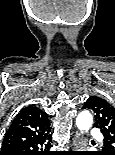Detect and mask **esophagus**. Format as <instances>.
Wrapping results in <instances>:
<instances>
[{
	"label": "esophagus",
	"instance_id": "1",
	"mask_svg": "<svg viewBox=\"0 0 115 155\" xmlns=\"http://www.w3.org/2000/svg\"><path fill=\"white\" fill-rule=\"evenodd\" d=\"M81 140H82L81 134L79 132H76L75 137L73 139V147L75 150H78Z\"/></svg>",
	"mask_w": 115,
	"mask_h": 155
}]
</instances>
